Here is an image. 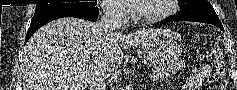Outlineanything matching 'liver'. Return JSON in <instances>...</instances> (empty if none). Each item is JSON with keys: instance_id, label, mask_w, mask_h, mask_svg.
<instances>
[{"instance_id": "1", "label": "liver", "mask_w": 237, "mask_h": 90, "mask_svg": "<svg viewBox=\"0 0 237 90\" xmlns=\"http://www.w3.org/2000/svg\"><path fill=\"white\" fill-rule=\"evenodd\" d=\"M157 30L123 36H101L100 26L78 18H60L37 30L28 40L20 68L23 90H86L91 72L107 62L110 72L122 64L121 48H138Z\"/></svg>"}]
</instances>
